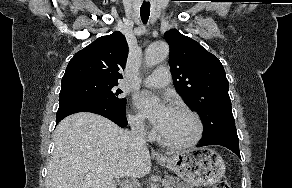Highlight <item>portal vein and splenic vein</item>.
I'll list each match as a JSON object with an SVG mask.
<instances>
[{"label":"portal vein and splenic vein","instance_id":"18ae733b","mask_svg":"<svg viewBox=\"0 0 292 188\" xmlns=\"http://www.w3.org/2000/svg\"><path fill=\"white\" fill-rule=\"evenodd\" d=\"M88 176H90V175H88ZM165 188H170V185L169 184L165 185Z\"/></svg>","mask_w":292,"mask_h":188}]
</instances>
